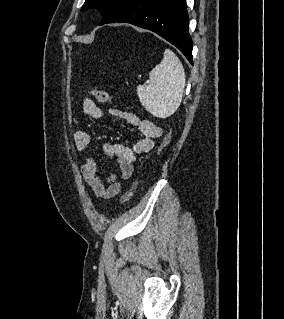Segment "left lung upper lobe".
<instances>
[{
	"mask_svg": "<svg viewBox=\"0 0 284 319\" xmlns=\"http://www.w3.org/2000/svg\"><path fill=\"white\" fill-rule=\"evenodd\" d=\"M124 2L125 0H86L81 11L97 8L103 15L100 24L103 25L119 10Z\"/></svg>",
	"mask_w": 284,
	"mask_h": 319,
	"instance_id": "left-lung-upper-lobe-1",
	"label": "left lung upper lobe"
}]
</instances>
